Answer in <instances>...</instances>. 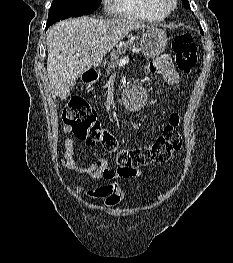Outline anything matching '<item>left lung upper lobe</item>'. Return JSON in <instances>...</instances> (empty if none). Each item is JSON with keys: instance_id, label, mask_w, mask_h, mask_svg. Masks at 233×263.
I'll return each instance as SVG.
<instances>
[{"instance_id": "1", "label": "left lung upper lobe", "mask_w": 233, "mask_h": 263, "mask_svg": "<svg viewBox=\"0 0 233 263\" xmlns=\"http://www.w3.org/2000/svg\"><path fill=\"white\" fill-rule=\"evenodd\" d=\"M183 4H184V6H185L186 8H190V5H189V3H188V0H183ZM199 28H200V32L203 34V30L201 29L200 26H199Z\"/></svg>"}]
</instances>
